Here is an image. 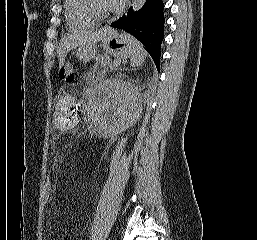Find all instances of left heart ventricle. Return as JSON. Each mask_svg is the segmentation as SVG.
Returning <instances> with one entry per match:
<instances>
[{
    "label": "left heart ventricle",
    "mask_w": 257,
    "mask_h": 240,
    "mask_svg": "<svg viewBox=\"0 0 257 240\" xmlns=\"http://www.w3.org/2000/svg\"><path fill=\"white\" fill-rule=\"evenodd\" d=\"M95 6L101 12H109L111 10L108 0H95Z\"/></svg>",
    "instance_id": "1"
}]
</instances>
